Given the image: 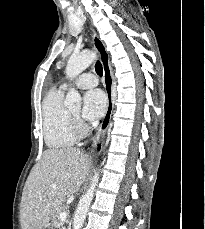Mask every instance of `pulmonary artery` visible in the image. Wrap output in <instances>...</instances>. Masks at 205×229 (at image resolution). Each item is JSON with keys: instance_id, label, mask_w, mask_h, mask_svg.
I'll return each mask as SVG.
<instances>
[{"instance_id": "pulmonary-artery-1", "label": "pulmonary artery", "mask_w": 205, "mask_h": 229, "mask_svg": "<svg viewBox=\"0 0 205 229\" xmlns=\"http://www.w3.org/2000/svg\"><path fill=\"white\" fill-rule=\"evenodd\" d=\"M74 84L76 87L78 88H92L95 87L98 84V79L97 77L92 74V73H83L81 75H79L75 81ZM69 86V83L65 82L61 88L62 89H67Z\"/></svg>"}]
</instances>
